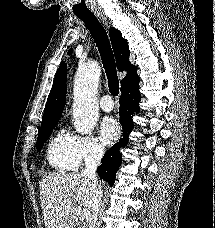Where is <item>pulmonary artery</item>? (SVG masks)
<instances>
[{
	"label": "pulmonary artery",
	"instance_id": "1",
	"mask_svg": "<svg viewBox=\"0 0 215 228\" xmlns=\"http://www.w3.org/2000/svg\"><path fill=\"white\" fill-rule=\"evenodd\" d=\"M100 107L106 112L113 110L114 102L112 97L110 95L102 97V99L100 100Z\"/></svg>",
	"mask_w": 215,
	"mask_h": 228
}]
</instances>
